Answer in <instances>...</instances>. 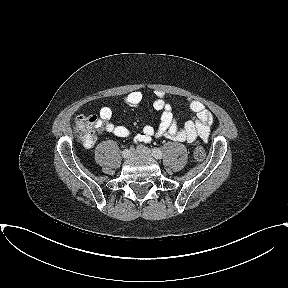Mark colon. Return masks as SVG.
Returning a JSON list of instances; mask_svg holds the SVG:
<instances>
[{"mask_svg":"<svg viewBox=\"0 0 288 288\" xmlns=\"http://www.w3.org/2000/svg\"><path fill=\"white\" fill-rule=\"evenodd\" d=\"M96 122L97 117L94 115H80L74 120V130L83 144L91 146L96 140ZM194 159L202 162L206 153L200 144H196L193 152Z\"/></svg>","mask_w":288,"mask_h":288,"instance_id":"obj_1","label":"colon"}]
</instances>
